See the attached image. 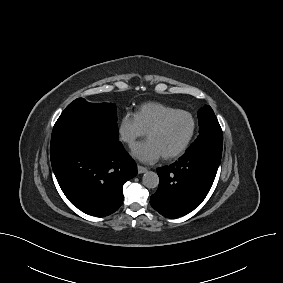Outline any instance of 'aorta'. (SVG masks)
Segmentation results:
<instances>
[{"instance_id": "762f6f07", "label": "aorta", "mask_w": 283, "mask_h": 283, "mask_svg": "<svg viewBox=\"0 0 283 283\" xmlns=\"http://www.w3.org/2000/svg\"><path fill=\"white\" fill-rule=\"evenodd\" d=\"M142 182L147 188H156L159 185L157 173L148 171L143 175Z\"/></svg>"}]
</instances>
